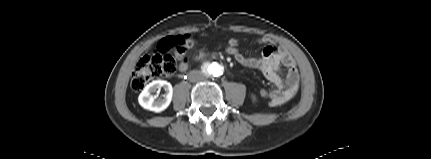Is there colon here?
Listing matches in <instances>:
<instances>
[{
	"label": "colon",
	"instance_id": "colon-1",
	"mask_svg": "<svg viewBox=\"0 0 431 159\" xmlns=\"http://www.w3.org/2000/svg\"><path fill=\"white\" fill-rule=\"evenodd\" d=\"M190 45L191 39L189 37L169 36L164 38L160 42L158 50L143 56L136 64L131 76V88L134 91H140L149 82L174 74L177 69V62L172 53L182 55ZM242 53L241 48L231 47L230 52L225 54L227 56H240ZM267 95V90H260V97L265 98Z\"/></svg>",
	"mask_w": 431,
	"mask_h": 159
}]
</instances>
